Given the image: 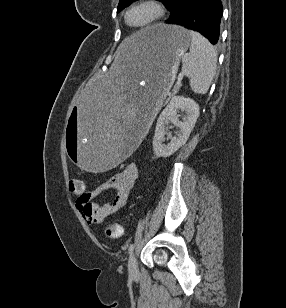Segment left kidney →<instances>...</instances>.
I'll use <instances>...</instances> for the list:
<instances>
[{
  "label": "left kidney",
  "mask_w": 286,
  "mask_h": 308,
  "mask_svg": "<svg viewBox=\"0 0 286 308\" xmlns=\"http://www.w3.org/2000/svg\"><path fill=\"white\" fill-rule=\"evenodd\" d=\"M178 110L186 113L183 121L178 119ZM198 116L199 105L193 99L184 96H174L157 119L153 138L154 154L157 157H169L182 147L187 142ZM169 123L180 129V132L174 137L167 132ZM166 135L170 139L167 145L163 144Z\"/></svg>",
  "instance_id": "left-kidney-1"
}]
</instances>
